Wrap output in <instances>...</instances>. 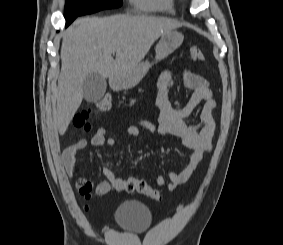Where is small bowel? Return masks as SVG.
I'll return each mask as SVG.
<instances>
[{
  "mask_svg": "<svg viewBox=\"0 0 283 245\" xmlns=\"http://www.w3.org/2000/svg\"><path fill=\"white\" fill-rule=\"evenodd\" d=\"M182 79L184 86L193 90L192 96L183 108L176 109L171 106L168 89L173 83V73L170 70H165L157 81L155 103L160 112L158 123L154 124L148 120H139L126 130L127 134L133 137H139L142 130L156 136L167 134L176 136L192 150L185 167L179 172H170L168 182L162 175L156 177V183L160 186H167L169 190H175L191 178L204 155L212 151L214 144L215 122L213 111L217 104L213 98L209 83L190 69L183 71ZM201 104L202 109L198 120L194 123L186 122V118ZM107 134L108 127L98 128L91 138V144L95 147H114L116 140L113 137H108ZM86 145L87 141L80 139L63 151L62 162L69 175H75V156ZM103 173L107 180L96 184L95 194L98 196L107 194L117 178L109 168H104ZM84 209L88 211L89 206H85Z\"/></svg>",
  "mask_w": 283,
  "mask_h": 245,
  "instance_id": "small-bowel-1",
  "label": "small bowel"
}]
</instances>
